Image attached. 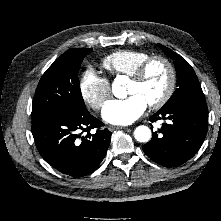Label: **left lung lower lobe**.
I'll list each match as a JSON object with an SVG mask.
<instances>
[{
  "label": "left lung lower lobe",
  "mask_w": 221,
  "mask_h": 221,
  "mask_svg": "<svg viewBox=\"0 0 221 221\" xmlns=\"http://www.w3.org/2000/svg\"><path fill=\"white\" fill-rule=\"evenodd\" d=\"M159 119L171 120L163 123L153 133L151 141L142 148L145 154L165 167L179 166L201 147L208 130V108L206 103H185L168 110H159L152 115L151 122Z\"/></svg>",
  "instance_id": "left-lung-lower-lobe-1"
}]
</instances>
